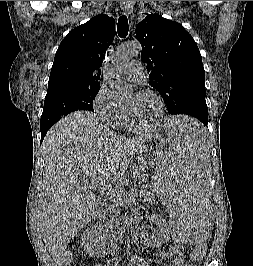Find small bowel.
Here are the masks:
<instances>
[{
    "instance_id": "c3829d8e",
    "label": "small bowel",
    "mask_w": 253,
    "mask_h": 266,
    "mask_svg": "<svg viewBox=\"0 0 253 266\" xmlns=\"http://www.w3.org/2000/svg\"><path fill=\"white\" fill-rule=\"evenodd\" d=\"M181 248H172L170 252H162L160 254L161 258L165 261L169 262V266H192L185 264L184 259L181 256ZM98 266H106V265H98ZM111 266H115L111 264ZM128 266H150L147 262H145L141 257H133L131 261L128 263Z\"/></svg>"
}]
</instances>
